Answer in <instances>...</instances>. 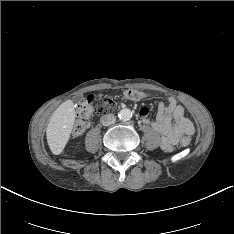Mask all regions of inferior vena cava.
Here are the masks:
<instances>
[{"label": "inferior vena cava", "mask_w": 234, "mask_h": 234, "mask_svg": "<svg viewBox=\"0 0 234 234\" xmlns=\"http://www.w3.org/2000/svg\"><path fill=\"white\" fill-rule=\"evenodd\" d=\"M116 122V117L113 114H106L101 118V123L104 126L112 125Z\"/></svg>", "instance_id": "1"}]
</instances>
